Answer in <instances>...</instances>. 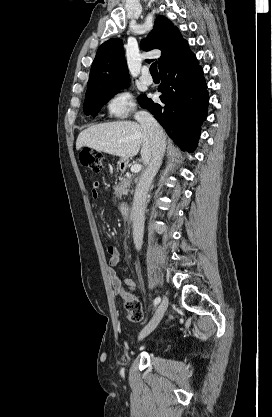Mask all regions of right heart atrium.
Segmentation results:
<instances>
[{"label": "right heart atrium", "mask_w": 272, "mask_h": 417, "mask_svg": "<svg viewBox=\"0 0 272 417\" xmlns=\"http://www.w3.org/2000/svg\"><path fill=\"white\" fill-rule=\"evenodd\" d=\"M136 104L132 93L127 89L117 90L107 102L108 112L118 118H123L133 113Z\"/></svg>", "instance_id": "d8ad5b80"}]
</instances>
